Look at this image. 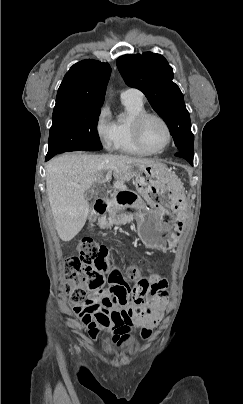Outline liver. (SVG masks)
Instances as JSON below:
<instances>
[{"mask_svg":"<svg viewBox=\"0 0 243 404\" xmlns=\"http://www.w3.org/2000/svg\"><path fill=\"white\" fill-rule=\"evenodd\" d=\"M156 160L130 156H86L63 154L46 166V188L55 220V230L62 242L73 240L87 220L89 204L84 192L102 178L104 172H114L116 190H127L125 182L136 176L134 168L155 166Z\"/></svg>","mask_w":243,"mask_h":404,"instance_id":"liver-1","label":"liver"}]
</instances>
